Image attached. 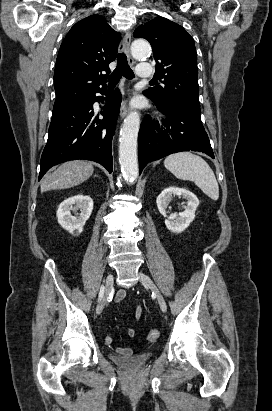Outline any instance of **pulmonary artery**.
Listing matches in <instances>:
<instances>
[{"label":"pulmonary artery","mask_w":272,"mask_h":411,"mask_svg":"<svg viewBox=\"0 0 272 411\" xmlns=\"http://www.w3.org/2000/svg\"><path fill=\"white\" fill-rule=\"evenodd\" d=\"M137 74L140 78L148 79L152 77V68L149 63H140L137 68Z\"/></svg>","instance_id":"pulmonary-artery-1"}]
</instances>
